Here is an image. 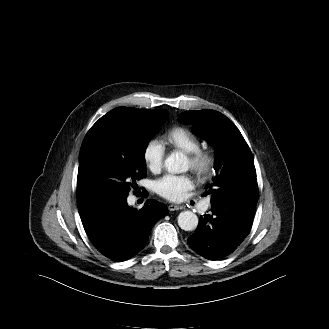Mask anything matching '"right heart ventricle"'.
<instances>
[{"mask_svg":"<svg viewBox=\"0 0 329 329\" xmlns=\"http://www.w3.org/2000/svg\"><path fill=\"white\" fill-rule=\"evenodd\" d=\"M164 137L169 145L186 153L199 149L201 145L200 139L191 130L183 126H175L169 129Z\"/></svg>","mask_w":329,"mask_h":329,"instance_id":"e07e8e85","label":"right heart ventricle"}]
</instances>
